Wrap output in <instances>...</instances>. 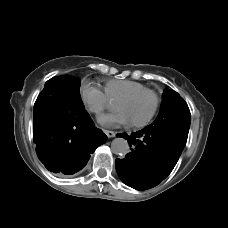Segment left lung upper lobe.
<instances>
[{"label": "left lung upper lobe", "instance_id": "1", "mask_svg": "<svg viewBox=\"0 0 228 228\" xmlns=\"http://www.w3.org/2000/svg\"><path fill=\"white\" fill-rule=\"evenodd\" d=\"M190 122L191 115L186 102L177 92L165 90L160 113L150 126L166 128L172 132H184L188 135Z\"/></svg>", "mask_w": 228, "mask_h": 228}]
</instances>
